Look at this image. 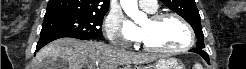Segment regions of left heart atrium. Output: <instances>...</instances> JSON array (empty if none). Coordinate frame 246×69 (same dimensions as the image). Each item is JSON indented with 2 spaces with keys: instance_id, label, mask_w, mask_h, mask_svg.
Segmentation results:
<instances>
[{
  "instance_id": "39dd6f15",
  "label": "left heart atrium",
  "mask_w": 246,
  "mask_h": 69,
  "mask_svg": "<svg viewBox=\"0 0 246 69\" xmlns=\"http://www.w3.org/2000/svg\"><path fill=\"white\" fill-rule=\"evenodd\" d=\"M126 36L133 41H138L142 38L140 29L134 28L131 25L126 30Z\"/></svg>"
}]
</instances>
